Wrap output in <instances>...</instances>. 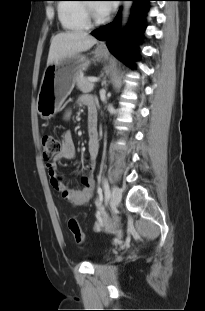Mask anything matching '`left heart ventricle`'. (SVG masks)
<instances>
[{
    "label": "left heart ventricle",
    "mask_w": 205,
    "mask_h": 311,
    "mask_svg": "<svg viewBox=\"0 0 205 311\" xmlns=\"http://www.w3.org/2000/svg\"><path fill=\"white\" fill-rule=\"evenodd\" d=\"M94 6V8L96 9V7H95V5H93ZM96 11H97V9H96ZM97 13L99 14V12L97 11Z\"/></svg>",
    "instance_id": "b2bd125f"
}]
</instances>
